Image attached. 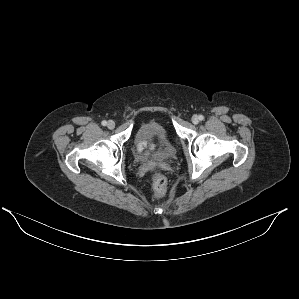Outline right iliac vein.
Here are the masks:
<instances>
[{
  "label": "right iliac vein",
  "mask_w": 299,
  "mask_h": 299,
  "mask_svg": "<svg viewBox=\"0 0 299 299\" xmlns=\"http://www.w3.org/2000/svg\"><path fill=\"white\" fill-rule=\"evenodd\" d=\"M107 127L109 129H113L115 127V122L112 121V120H109L108 123H107Z\"/></svg>",
  "instance_id": "obj_1"
}]
</instances>
